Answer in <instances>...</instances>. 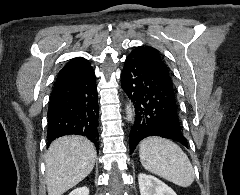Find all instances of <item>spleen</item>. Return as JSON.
I'll use <instances>...</instances> for the list:
<instances>
[{
	"instance_id": "obj_1",
	"label": "spleen",
	"mask_w": 240,
	"mask_h": 195,
	"mask_svg": "<svg viewBox=\"0 0 240 195\" xmlns=\"http://www.w3.org/2000/svg\"><path fill=\"white\" fill-rule=\"evenodd\" d=\"M139 157L145 169L181 187H189L195 179L189 157L171 139L157 135L145 137L139 143Z\"/></svg>"
}]
</instances>
